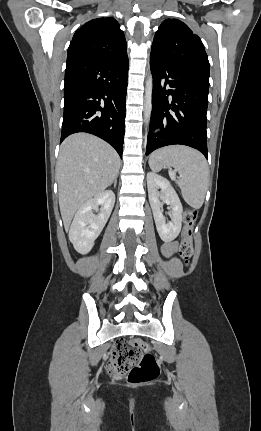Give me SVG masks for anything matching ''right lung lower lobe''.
<instances>
[{
    "label": "right lung lower lobe",
    "mask_w": 261,
    "mask_h": 431,
    "mask_svg": "<svg viewBox=\"0 0 261 431\" xmlns=\"http://www.w3.org/2000/svg\"><path fill=\"white\" fill-rule=\"evenodd\" d=\"M128 56L66 65L61 141L77 132L94 134L122 158Z\"/></svg>",
    "instance_id": "obj_1"
}]
</instances>
